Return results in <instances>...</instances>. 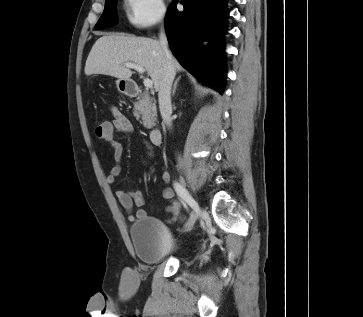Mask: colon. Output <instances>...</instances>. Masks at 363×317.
I'll return each instance as SVG.
<instances>
[{
  "label": "colon",
  "mask_w": 363,
  "mask_h": 317,
  "mask_svg": "<svg viewBox=\"0 0 363 317\" xmlns=\"http://www.w3.org/2000/svg\"><path fill=\"white\" fill-rule=\"evenodd\" d=\"M104 128H107V122H97L95 124V132H100Z\"/></svg>",
  "instance_id": "obj_1"
}]
</instances>
